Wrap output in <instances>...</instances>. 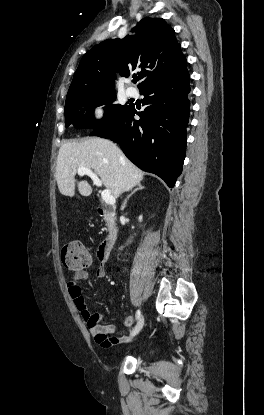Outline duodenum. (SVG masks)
<instances>
[{"mask_svg":"<svg viewBox=\"0 0 264 415\" xmlns=\"http://www.w3.org/2000/svg\"><path fill=\"white\" fill-rule=\"evenodd\" d=\"M98 214L104 218L109 225L108 235L103 239L98 249V257L101 262L109 260L111 252L116 244L118 229L115 212L108 206L98 208Z\"/></svg>","mask_w":264,"mask_h":415,"instance_id":"obj_1","label":"duodenum"}]
</instances>
